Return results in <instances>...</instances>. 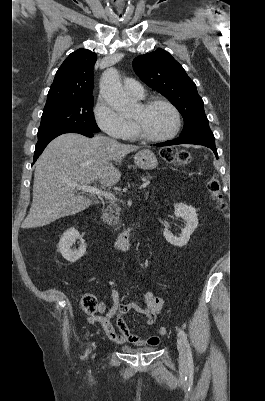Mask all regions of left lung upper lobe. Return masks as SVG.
I'll list each match as a JSON object with an SVG mask.
<instances>
[{
	"label": "left lung upper lobe",
	"mask_w": 265,
	"mask_h": 401,
	"mask_svg": "<svg viewBox=\"0 0 265 401\" xmlns=\"http://www.w3.org/2000/svg\"><path fill=\"white\" fill-rule=\"evenodd\" d=\"M132 63L139 78L164 95L182 114L184 128L180 136L209 128L195 83L168 52L159 48L136 57Z\"/></svg>",
	"instance_id": "obj_1"
}]
</instances>
